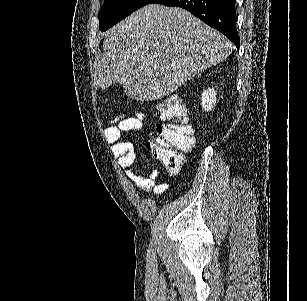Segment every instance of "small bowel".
<instances>
[{
    "label": "small bowel",
    "mask_w": 307,
    "mask_h": 301,
    "mask_svg": "<svg viewBox=\"0 0 307 301\" xmlns=\"http://www.w3.org/2000/svg\"><path fill=\"white\" fill-rule=\"evenodd\" d=\"M142 127L140 119L130 117L115 125H111L105 130L107 142L111 145V151L118 160L119 166L129 172L131 180L139 187L141 193H153L155 196H161L167 191L168 185L165 183H156L159 177V171L154 170L147 176L139 175L134 171L136 163V153L133 144L122 140V133L128 130H139Z\"/></svg>",
    "instance_id": "1"
}]
</instances>
